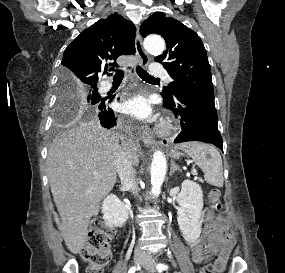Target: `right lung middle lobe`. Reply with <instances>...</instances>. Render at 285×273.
Instances as JSON below:
<instances>
[{"label":"right lung middle lobe","mask_w":285,"mask_h":273,"mask_svg":"<svg viewBox=\"0 0 285 273\" xmlns=\"http://www.w3.org/2000/svg\"><path fill=\"white\" fill-rule=\"evenodd\" d=\"M97 85L75 83L67 75L60 77L57 94V123L81 118H98V105L103 99Z\"/></svg>","instance_id":"obj_1"}]
</instances>
